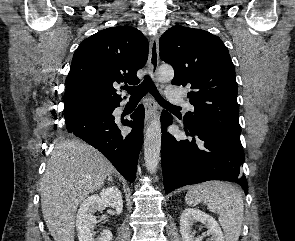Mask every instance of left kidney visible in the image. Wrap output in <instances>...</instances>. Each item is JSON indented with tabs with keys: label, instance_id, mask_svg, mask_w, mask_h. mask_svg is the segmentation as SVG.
<instances>
[{
	"label": "left kidney",
	"instance_id": "1",
	"mask_svg": "<svg viewBox=\"0 0 295 241\" xmlns=\"http://www.w3.org/2000/svg\"><path fill=\"white\" fill-rule=\"evenodd\" d=\"M197 222L202 223L208 229L207 235L210 238L207 241H225L217 221L209 214L194 208H186L181 214L180 232L183 241H202L200 237H195V232L192 230Z\"/></svg>",
	"mask_w": 295,
	"mask_h": 241
}]
</instances>
